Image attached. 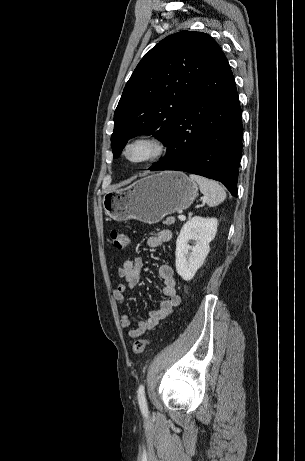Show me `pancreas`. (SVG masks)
<instances>
[{"instance_id":"obj_1","label":"pancreas","mask_w":305,"mask_h":461,"mask_svg":"<svg viewBox=\"0 0 305 461\" xmlns=\"http://www.w3.org/2000/svg\"><path fill=\"white\" fill-rule=\"evenodd\" d=\"M175 222V218L174 217H168L165 221H163V224H166V225H171Z\"/></svg>"}]
</instances>
